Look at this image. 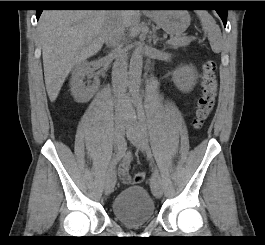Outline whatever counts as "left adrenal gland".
<instances>
[{"mask_svg": "<svg viewBox=\"0 0 265 245\" xmlns=\"http://www.w3.org/2000/svg\"><path fill=\"white\" fill-rule=\"evenodd\" d=\"M160 40L161 39L157 38V36L155 34L153 35V45L154 46L157 45Z\"/></svg>", "mask_w": 265, "mask_h": 245, "instance_id": "left-adrenal-gland-1", "label": "left adrenal gland"}]
</instances>
